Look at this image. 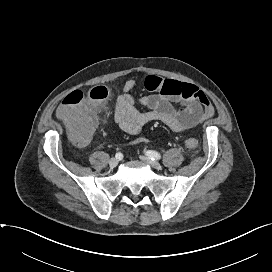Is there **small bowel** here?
I'll return each mask as SVG.
<instances>
[{"mask_svg":"<svg viewBox=\"0 0 272 272\" xmlns=\"http://www.w3.org/2000/svg\"><path fill=\"white\" fill-rule=\"evenodd\" d=\"M136 83L134 78L126 80L113 116L114 123L128 134H138L152 121H160L175 132H185L215 114L208 96L193 84L148 75L144 85L153 94L135 98L131 92ZM175 103L180 108H175ZM145 141L139 138L136 143Z\"/></svg>","mask_w":272,"mask_h":272,"instance_id":"small-bowel-1","label":"small bowel"}]
</instances>
